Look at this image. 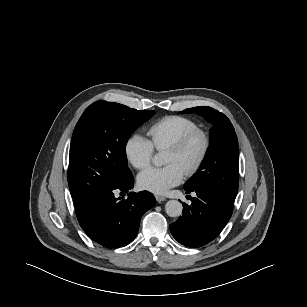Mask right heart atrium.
Segmentation results:
<instances>
[{
	"label": "right heart atrium",
	"instance_id": "right-heart-atrium-1",
	"mask_svg": "<svg viewBox=\"0 0 307 307\" xmlns=\"http://www.w3.org/2000/svg\"><path fill=\"white\" fill-rule=\"evenodd\" d=\"M125 153L135 168L144 169L153 159L154 147L145 137L134 134L128 138L125 144Z\"/></svg>",
	"mask_w": 307,
	"mask_h": 307
}]
</instances>
